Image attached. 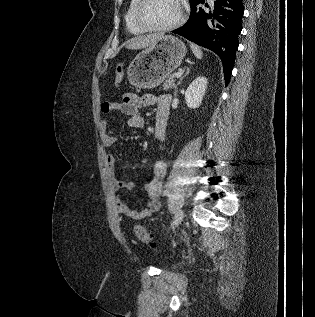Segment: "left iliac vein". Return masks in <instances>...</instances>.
<instances>
[{
  "instance_id": "4c4485c4",
  "label": "left iliac vein",
  "mask_w": 315,
  "mask_h": 317,
  "mask_svg": "<svg viewBox=\"0 0 315 317\" xmlns=\"http://www.w3.org/2000/svg\"><path fill=\"white\" fill-rule=\"evenodd\" d=\"M184 213L181 209L177 210L173 218V229L177 228L182 222Z\"/></svg>"
}]
</instances>
